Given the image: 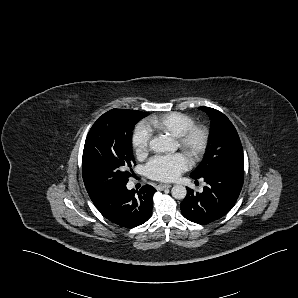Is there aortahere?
Returning <instances> with one entry per match:
<instances>
[{"instance_id":"762f6f07","label":"aorta","mask_w":298,"mask_h":298,"mask_svg":"<svg viewBox=\"0 0 298 298\" xmlns=\"http://www.w3.org/2000/svg\"><path fill=\"white\" fill-rule=\"evenodd\" d=\"M180 147V144L175 138L161 134L158 137H154L150 140V148L155 153H175ZM187 194L185 186L174 185L171 188V195L175 199H184Z\"/></svg>"}]
</instances>
